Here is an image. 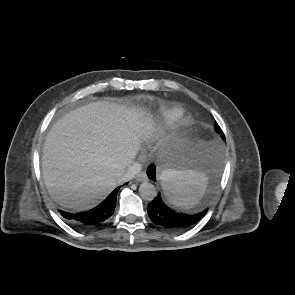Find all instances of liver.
Here are the masks:
<instances>
[{"label":"liver","mask_w":295,"mask_h":295,"mask_svg":"<svg viewBox=\"0 0 295 295\" xmlns=\"http://www.w3.org/2000/svg\"><path fill=\"white\" fill-rule=\"evenodd\" d=\"M154 121L141 109L93 102L61 117L43 148L45 186L59 205L86 210L121 182Z\"/></svg>","instance_id":"6515ba94"}]
</instances>
